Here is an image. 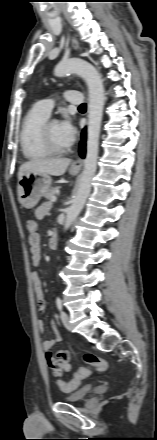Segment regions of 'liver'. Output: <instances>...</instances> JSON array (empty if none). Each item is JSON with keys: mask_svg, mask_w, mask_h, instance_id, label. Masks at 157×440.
I'll use <instances>...</instances> for the list:
<instances>
[{"mask_svg": "<svg viewBox=\"0 0 157 440\" xmlns=\"http://www.w3.org/2000/svg\"><path fill=\"white\" fill-rule=\"evenodd\" d=\"M71 159L68 158H54V159H33L19 168L18 179L30 173H45L53 176H61L65 173Z\"/></svg>", "mask_w": 157, "mask_h": 440, "instance_id": "6515ba94", "label": "liver"}]
</instances>
